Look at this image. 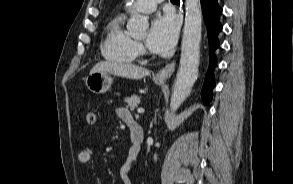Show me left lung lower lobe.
<instances>
[{"label": "left lung lower lobe", "mask_w": 293, "mask_h": 184, "mask_svg": "<svg viewBox=\"0 0 293 184\" xmlns=\"http://www.w3.org/2000/svg\"><path fill=\"white\" fill-rule=\"evenodd\" d=\"M201 6L208 30L210 58L201 96L204 103L208 105L212 99V89L215 87L213 71L216 66L215 50L219 47L218 33L222 30V25L219 21L222 8L218 5V0H201Z\"/></svg>", "instance_id": "1"}]
</instances>
